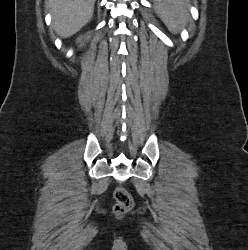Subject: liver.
<instances>
[{
	"instance_id": "6515ba94",
	"label": "liver",
	"mask_w": 248,
	"mask_h": 250,
	"mask_svg": "<svg viewBox=\"0 0 248 250\" xmlns=\"http://www.w3.org/2000/svg\"><path fill=\"white\" fill-rule=\"evenodd\" d=\"M95 0H48L55 31L67 38L77 33L93 16Z\"/></svg>"
}]
</instances>
